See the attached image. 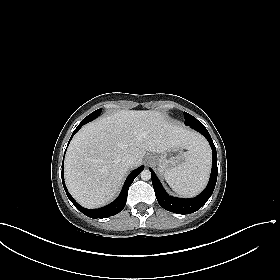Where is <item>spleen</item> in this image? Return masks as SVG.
Wrapping results in <instances>:
<instances>
[{"label": "spleen", "instance_id": "1", "mask_svg": "<svg viewBox=\"0 0 280 280\" xmlns=\"http://www.w3.org/2000/svg\"><path fill=\"white\" fill-rule=\"evenodd\" d=\"M186 160L165 172V180L177 194L194 196L207 184L211 154L207 146L186 153Z\"/></svg>", "mask_w": 280, "mask_h": 280}]
</instances>
